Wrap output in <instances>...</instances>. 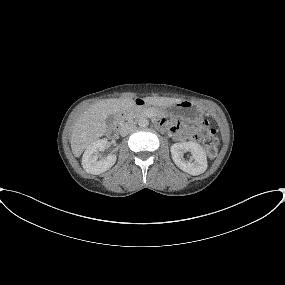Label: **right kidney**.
I'll return each instance as SVG.
<instances>
[{
    "instance_id": "obj_1",
    "label": "right kidney",
    "mask_w": 285,
    "mask_h": 285,
    "mask_svg": "<svg viewBox=\"0 0 285 285\" xmlns=\"http://www.w3.org/2000/svg\"><path fill=\"white\" fill-rule=\"evenodd\" d=\"M107 143V139H100L87 147L82 157V166L87 173L98 175L115 164L117 159L115 154L99 159L98 152L105 150Z\"/></svg>"
}]
</instances>
